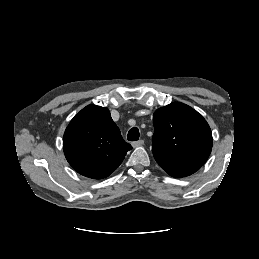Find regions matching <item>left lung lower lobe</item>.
Listing matches in <instances>:
<instances>
[{"instance_id":"1","label":"left lung lower lobe","mask_w":259,"mask_h":259,"mask_svg":"<svg viewBox=\"0 0 259 259\" xmlns=\"http://www.w3.org/2000/svg\"><path fill=\"white\" fill-rule=\"evenodd\" d=\"M157 163L171 176L180 178L193 174L201 166L174 164L165 161H157Z\"/></svg>"}]
</instances>
